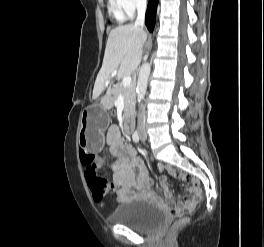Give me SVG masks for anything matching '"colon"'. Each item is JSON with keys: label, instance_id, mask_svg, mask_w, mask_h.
<instances>
[{"label": "colon", "instance_id": "obj_1", "mask_svg": "<svg viewBox=\"0 0 264 247\" xmlns=\"http://www.w3.org/2000/svg\"><path fill=\"white\" fill-rule=\"evenodd\" d=\"M81 161L87 165L85 176L94 200L97 202H105L110 193L111 185L106 178L98 174L96 156L93 153H83L81 155ZM188 182L192 186L196 185L193 179H189ZM199 198L200 196L198 194H191L186 196L182 201L172 204L171 214L177 217L175 225H181L186 221L185 215L194 210Z\"/></svg>", "mask_w": 264, "mask_h": 247}]
</instances>
